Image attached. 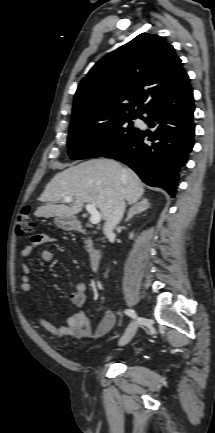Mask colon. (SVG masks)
I'll use <instances>...</instances> for the list:
<instances>
[{"instance_id": "obj_1", "label": "colon", "mask_w": 215, "mask_h": 433, "mask_svg": "<svg viewBox=\"0 0 215 433\" xmlns=\"http://www.w3.org/2000/svg\"><path fill=\"white\" fill-rule=\"evenodd\" d=\"M35 219L29 206L25 207L16 220V233L18 236H27L34 231Z\"/></svg>"}]
</instances>
